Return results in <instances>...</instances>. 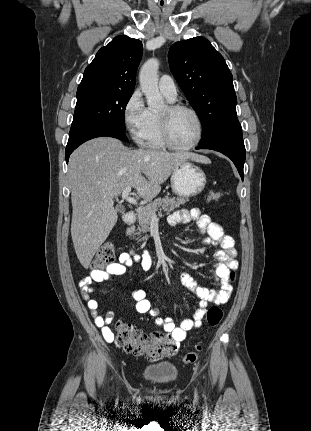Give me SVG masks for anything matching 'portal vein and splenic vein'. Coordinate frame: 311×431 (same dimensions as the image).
<instances>
[{
  "mask_svg": "<svg viewBox=\"0 0 311 431\" xmlns=\"http://www.w3.org/2000/svg\"><path fill=\"white\" fill-rule=\"evenodd\" d=\"M130 192H132V188H125L122 192V200H126L129 204H133V206H138V200H135V196H130ZM153 217H157L156 214Z\"/></svg>",
  "mask_w": 311,
  "mask_h": 431,
  "instance_id": "portal-vein-and-splenic-vein-1",
  "label": "portal vein and splenic vein"
}]
</instances>
